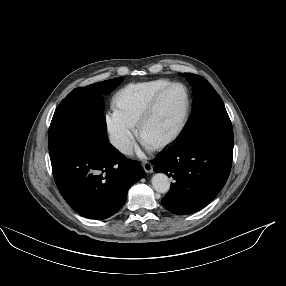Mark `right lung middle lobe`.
Listing matches in <instances>:
<instances>
[{"label": "right lung middle lobe", "mask_w": 286, "mask_h": 286, "mask_svg": "<svg viewBox=\"0 0 286 286\" xmlns=\"http://www.w3.org/2000/svg\"><path fill=\"white\" fill-rule=\"evenodd\" d=\"M122 80L116 78L76 88L61 101L49 128L50 158L75 146H88L106 156L113 155L115 148L107 138L102 95Z\"/></svg>", "instance_id": "dd1d6c3e"}]
</instances>
